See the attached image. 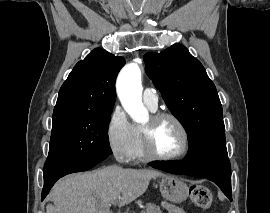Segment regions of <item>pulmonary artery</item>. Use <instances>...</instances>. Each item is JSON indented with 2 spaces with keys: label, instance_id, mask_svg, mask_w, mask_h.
I'll return each mask as SVG.
<instances>
[{
  "label": "pulmonary artery",
  "instance_id": "pulmonary-artery-1",
  "mask_svg": "<svg viewBox=\"0 0 270 213\" xmlns=\"http://www.w3.org/2000/svg\"><path fill=\"white\" fill-rule=\"evenodd\" d=\"M143 101L150 109L156 110L158 106V98L154 90L146 88L143 92Z\"/></svg>",
  "mask_w": 270,
  "mask_h": 213
}]
</instances>
